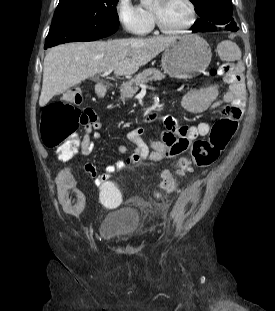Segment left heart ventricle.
I'll list each match as a JSON object with an SVG mask.
<instances>
[{"label": "left heart ventricle", "mask_w": 275, "mask_h": 311, "mask_svg": "<svg viewBox=\"0 0 275 311\" xmlns=\"http://www.w3.org/2000/svg\"><path fill=\"white\" fill-rule=\"evenodd\" d=\"M152 9L157 11L163 25L168 29L180 28L190 18L189 7L184 0H155Z\"/></svg>", "instance_id": "left-heart-ventricle-1"}]
</instances>
